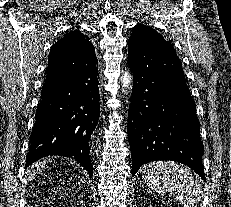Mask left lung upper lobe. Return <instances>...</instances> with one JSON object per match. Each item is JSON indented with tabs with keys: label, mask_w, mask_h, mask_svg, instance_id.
<instances>
[{
	"label": "left lung upper lobe",
	"mask_w": 231,
	"mask_h": 207,
	"mask_svg": "<svg viewBox=\"0 0 231 207\" xmlns=\"http://www.w3.org/2000/svg\"><path fill=\"white\" fill-rule=\"evenodd\" d=\"M128 44L156 47H173V45L170 42L164 40L163 36L160 33H157L155 29L143 24H138L134 27Z\"/></svg>",
	"instance_id": "5c2ea615"
}]
</instances>
